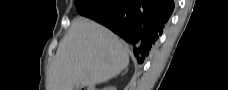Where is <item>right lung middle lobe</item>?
I'll return each instance as SVG.
<instances>
[{
    "instance_id": "right-lung-middle-lobe-1",
    "label": "right lung middle lobe",
    "mask_w": 228,
    "mask_h": 90,
    "mask_svg": "<svg viewBox=\"0 0 228 90\" xmlns=\"http://www.w3.org/2000/svg\"><path fill=\"white\" fill-rule=\"evenodd\" d=\"M77 12L85 17L94 16L101 12L105 0H75Z\"/></svg>"
}]
</instances>
